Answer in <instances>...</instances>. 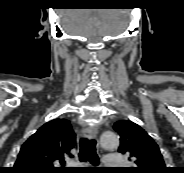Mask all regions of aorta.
Here are the masks:
<instances>
[{
	"instance_id": "aorta-1",
	"label": "aorta",
	"mask_w": 184,
	"mask_h": 173,
	"mask_svg": "<svg viewBox=\"0 0 184 173\" xmlns=\"http://www.w3.org/2000/svg\"><path fill=\"white\" fill-rule=\"evenodd\" d=\"M100 144L105 149H115L119 145L118 136L114 132H104L101 135Z\"/></svg>"
}]
</instances>
